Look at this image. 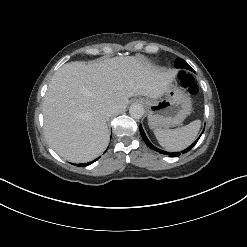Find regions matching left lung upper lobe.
I'll list each match as a JSON object with an SVG mask.
<instances>
[{"mask_svg": "<svg viewBox=\"0 0 247 247\" xmlns=\"http://www.w3.org/2000/svg\"><path fill=\"white\" fill-rule=\"evenodd\" d=\"M175 67L176 68H184L188 70H193L183 59L177 58L175 61Z\"/></svg>", "mask_w": 247, "mask_h": 247, "instance_id": "1", "label": "left lung upper lobe"}]
</instances>
